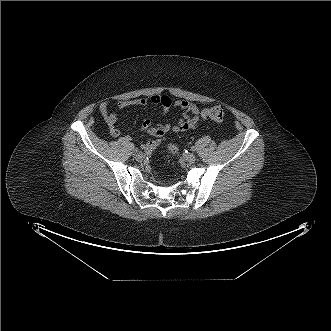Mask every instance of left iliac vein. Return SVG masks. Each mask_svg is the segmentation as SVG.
<instances>
[{
	"mask_svg": "<svg viewBox=\"0 0 331 331\" xmlns=\"http://www.w3.org/2000/svg\"><path fill=\"white\" fill-rule=\"evenodd\" d=\"M185 159L189 163H194L196 161V156L194 154H187V155H185Z\"/></svg>",
	"mask_w": 331,
	"mask_h": 331,
	"instance_id": "1",
	"label": "left iliac vein"
}]
</instances>
